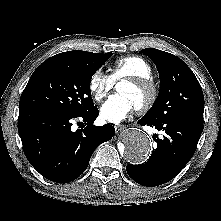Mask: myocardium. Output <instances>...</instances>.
I'll list each match as a JSON object with an SVG mask.
<instances>
[{"label":"myocardium","mask_w":221,"mask_h":221,"mask_svg":"<svg viewBox=\"0 0 221 221\" xmlns=\"http://www.w3.org/2000/svg\"><path fill=\"white\" fill-rule=\"evenodd\" d=\"M123 81L148 91L147 99L136 107L138 112H146L156 103L159 91L157 84L151 77H131L125 78Z\"/></svg>","instance_id":"1"}]
</instances>
